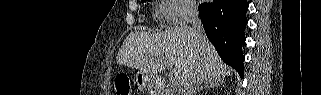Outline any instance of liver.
I'll return each mask as SVG.
<instances>
[{
	"mask_svg": "<svg viewBox=\"0 0 321 95\" xmlns=\"http://www.w3.org/2000/svg\"><path fill=\"white\" fill-rule=\"evenodd\" d=\"M163 61L174 66L173 73L180 86L200 66L204 68L206 79L232 74L209 40L205 37L198 43L188 26L153 34L132 32L117 54V64L138 69L153 79L165 69Z\"/></svg>",
	"mask_w": 321,
	"mask_h": 95,
	"instance_id": "1",
	"label": "liver"
}]
</instances>
